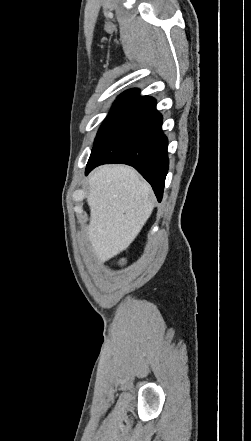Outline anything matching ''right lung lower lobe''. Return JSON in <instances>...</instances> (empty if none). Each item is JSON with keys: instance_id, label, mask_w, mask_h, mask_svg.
<instances>
[{"instance_id": "obj_1", "label": "right lung lower lobe", "mask_w": 251, "mask_h": 441, "mask_svg": "<svg viewBox=\"0 0 251 441\" xmlns=\"http://www.w3.org/2000/svg\"><path fill=\"white\" fill-rule=\"evenodd\" d=\"M161 126L154 98L144 96L131 103L96 142L85 174L106 163L133 166L161 201L169 166L168 140Z\"/></svg>"}]
</instances>
